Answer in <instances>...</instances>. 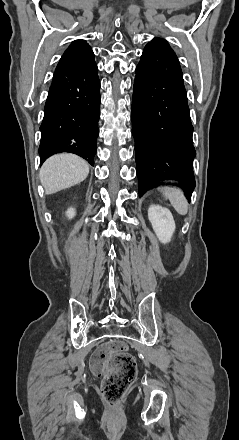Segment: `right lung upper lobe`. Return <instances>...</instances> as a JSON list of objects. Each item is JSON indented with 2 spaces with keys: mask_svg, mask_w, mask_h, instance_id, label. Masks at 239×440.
I'll return each instance as SVG.
<instances>
[{
  "mask_svg": "<svg viewBox=\"0 0 239 440\" xmlns=\"http://www.w3.org/2000/svg\"><path fill=\"white\" fill-rule=\"evenodd\" d=\"M95 64L94 53L84 40H75L62 55L58 66L86 67Z\"/></svg>",
  "mask_w": 239,
  "mask_h": 440,
  "instance_id": "obj_1",
  "label": "right lung upper lobe"
}]
</instances>
